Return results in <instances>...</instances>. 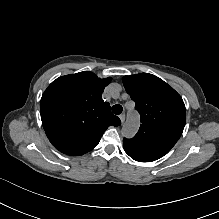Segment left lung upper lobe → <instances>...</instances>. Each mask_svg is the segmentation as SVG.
<instances>
[{"instance_id":"obj_1","label":"left lung upper lobe","mask_w":219,"mask_h":219,"mask_svg":"<svg viewBox=\"0 0 219 219\" xmlns=\"http://www.w3.org/2000/svg\"><path fill=\"white\" fill-rule=\"evenodd\" d=\"M123 84L141 117L138 133L123 139L125 152L139 162L164 156L180 138L186 121L181 96L159 77L141 73L124 76Z\"/></svg>"}]
</instances>
